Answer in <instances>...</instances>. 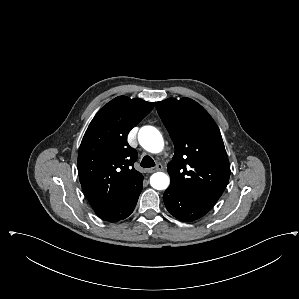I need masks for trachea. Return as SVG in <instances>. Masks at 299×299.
<instances>
[{"mask_svg": "<svg viewBox=\"0 0 299 299\" xmlns=\"http://www.w3.org/2000/svg\"><path fill=\"white\" fill-rule=\"evenodd\" d=\"M141 166L144 168L154 167L155 162L150 156H145L141 161Z\"/></svg>", "mask_w": 299, "mask_h": 299, "instance_id": "trachea-1", "label": "trachea"}]
</instances>
